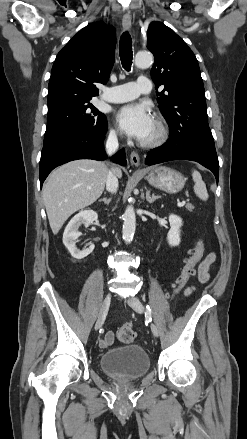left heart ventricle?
I'll return each mask as SVG.
<instances>
[{"label": "left heart ventricle", "mask_w": 247, "mask_h": 439, "mask_svg": "<svg viewBox=\"0 0 247 439\" xmlns=\"http://www.w3.org/2000/svg\"><path fill=\"white\" fill-rule=\"evenodd\" d=\"M155 135H156V125H155V122H154L153 127H152L149 135L145 138L144 141H148V140L152 139Z\"/></svg>", "instance_id": "obj_1"}]
</instances>
